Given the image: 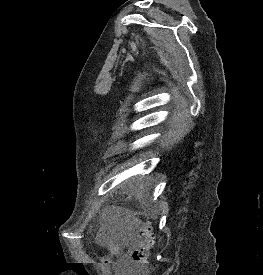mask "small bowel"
Listing matches in <instances>:
<instances>
[{
	"label": "small bowel",
	"instance_id": "c3829d8e",
	"mask_svg": "<svg viewBox=\"0 0 263 275\" xmlns=\"http://www.w3.org/2000/svg\"><path fill=\"white\" fill-rule=\"evenodd\" d=\"M125 266H126L125 263H122V264H121V266H120L121 274H123V270H124Z\"/></svg>",
	"mask_w": 263,
	"mask_h": 275
}]
</instances>
